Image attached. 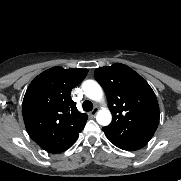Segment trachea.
<instances>
[{"instance_id": "trachea-1", "label": "trachea", "mask_w": 181, "mask_h": 181, "mask_svg": "<svg viewBox=\"0 0 181 181\" xmlns=\"http://www.w3.org/2000/svg\"><path fill=\"white\" fill-rule=\"evenodd\" d=\"M82 107L85 111H91L93 109V104L91 101L86 100L83 102Z\"/></svg>"}]
</instances>
